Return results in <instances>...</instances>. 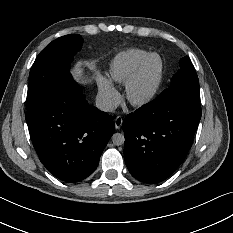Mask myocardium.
<instances>
[{"label": "myocardium", "instance_id": "myocardium-1", "mask_svg": "<svg viewBox=\"0 0 233 233\" xmlns=\"http://www.w3.org/2000/svg\"><path fill=\"white\" fill-rule=\"evenodd\" d=\"M156 56L160 57L162 59V62H163L162 72L160 74V77H159L152 93L144 99H138L133 95V89H134L135 85L138 83V81L141 79L143 73L145 72V70L149 66L151 60ZM166 74H167V64H166V61H165V58L163 57V55H161L160 53H157V52L151 53L144 60L142 65L136 70V72L125 83V94H126L127 100L132 105H134L136 107H139V108L147 107L148 105L153 103L159 97V95L163 89V86H164Z\"/></svg>", "mask_w": 233, "mask_h": 233}]
</instances>
